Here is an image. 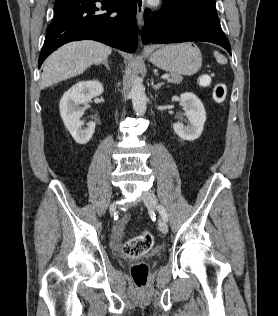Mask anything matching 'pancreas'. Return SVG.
Wrapping results in <instances>:
<instances>
[{"mask_svg": "<svg viewBox=\"0 0 278 316\" xmlns=\"http://www.w3.org/2000/svg\"><path fill=\"white\" fill-rule=\"evenodd\" d=\"M183 80V77L180 74H170V77L167 79L169 83L179 84Z\"/></svg>", "mask_w": 278, "mask_h": 316, "instance_id": "1", "label": "pancreas"}]
</instances>
